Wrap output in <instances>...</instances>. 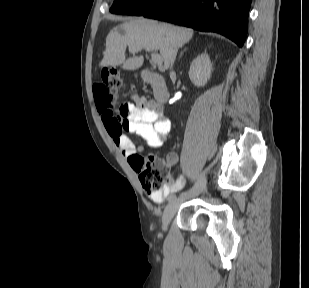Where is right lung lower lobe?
Here are the masks:
<instances>
[{
	"mask_svg": "<svg viewBox=\"0 0 309 288\" xmlns=\"http://www.w3.org/2000/svg\"><path fill=\"white\" fill-rule=\"evenodd\" d=\"M252 0H165L144 17L176 23L205 32L220 33L239 47L248 29Z\"/></svg>",
	"mask_w": 309,
	"mask_h": 288,
	"instance_id": "right-lung-lower-lobe-1",
	"label": "right lung lower lobe"
}]
</instances>
